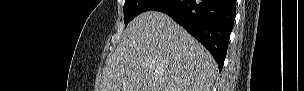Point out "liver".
I'll list each match as a JSON object with an SVG mask.
<instances>
[{
    "mask_svg": "<svg viewBox=\"0 0 304 91\" xmlns=\"http://www.w3.org/2000/svg\"><path fill=\"white\" fill-rule=\"evenodd\" d=\"M212 55L168 15L147 11L106 60L100 91H211Z\"/></svg>",
    "mask_w": 304,
    "mask_h": 91,
    "instance_id": "obj_1",
    "label": "liver"
}]
</instances>
